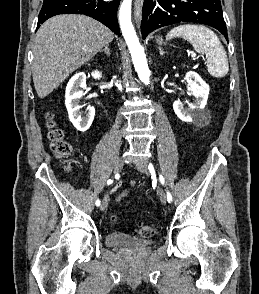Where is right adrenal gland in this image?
I'll return each mask as SVG.
<instances>
[{
    "label": "right adrenal gland",
    "mask_w": 259,
    "mask_h": 294,
    "mask_svg": "<svg viewBox=\"0 0 259 294\" xmlns=\"http://www.w3.org/2000/svg\"><path fill=\"white\" fill-rule=\"evenodd\" d=\"M100 53L101 52H104L107 56H110L111 53H110V49H109V45H106L105 48L101 51H99Z\"/></svg>",
    "instance_id": "right-adrenal-gland-1"
}]
</instances>
